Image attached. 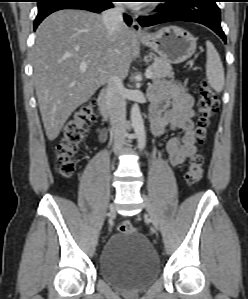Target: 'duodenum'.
I'll return each instance as SVG.
<instances>
[{
	"label": "duodenum",
	"instance_id": "obj_1",
	"mask_svg": "<svg viewBox=\"0 0 248 299\" xmlns=\"http://www.w3.org/2000/svg\"><path fill=\"white\" fill-rule=\"evenodd\" d=\"M98 106L104 120H108L113 112L112 101L108 88H104L98 96Z\"/></svg>",
	"mask_w": 248,
	"mask_h": 299
}]
</instances>
